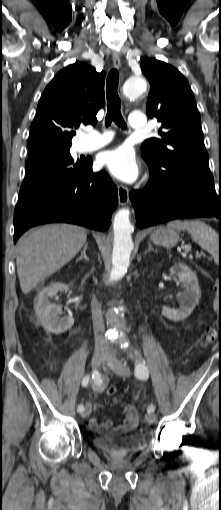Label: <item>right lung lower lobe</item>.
Returning <instances> with one entry per match:
<instances>
[{
  "label": "right lung lower lobe",
  "mask_w": 221,
  "mask_h": 510,
  "mask_svg": "<svg viewBox=\"0 0 221 510\" xmlns=\"http://www.w3.org/2000/svg\"><path fill=\"white\" fill-rule=\"evenodd\" d=\"M117 204L116 186L106 172L92 171L90 159L74 180L41 190L15 209L14 242L29 228L52 222L107 230Z\"/></svg>",
  "instance_id": "right-lung-lower-lobe-1"
}]
</instances>
